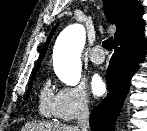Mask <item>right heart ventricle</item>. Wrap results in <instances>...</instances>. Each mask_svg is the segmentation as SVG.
Here are the masks:
<instances>
[{"mask_svg": "<svg viewBox=\"0 0 147 131\" xmlns=\"http://www.w3.org/2000/svg\"><path fill=\"white\" fill-rule=\"evenodd\" d=\"M54 98L55 95L51 84L49 81H46L39 93L38 110L42 116L51 117L53 115Z\"/></svg>", "mask_w": 147, "mask_h": 131, "instance_id": "right-heart-ventricle-1", "label": "right heart ventricle"}]
</instances>
